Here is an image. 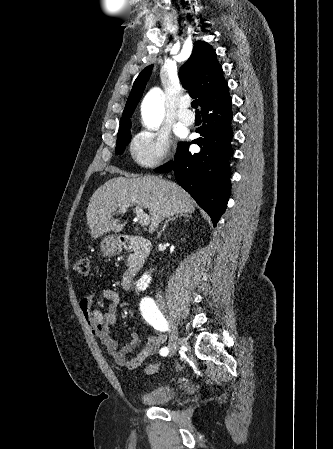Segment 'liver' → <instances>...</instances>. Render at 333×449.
Masks as SVG:
<instances>
[{
    "label": "liver",
    "mask_w": 333,
    "mask_h": 449,
    "mask_svg": "<svg viewBox=\"0 0 333 449\" xmlns=\"http://www.w3.org/2000/svg\"><path fill=\"white\" fill-rule=\"evenodd\" d=\"M137 205L149 211L152 233L164 218L191 214L195 202L176 183L154 176L117 177L108 180L92 195L86 216L93 239L110 231L120 232L125 224L114 220V213L122 206Z\"/></svg>",
    "instance_id": "1"
}]
</instances>
